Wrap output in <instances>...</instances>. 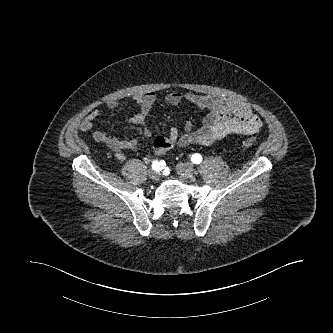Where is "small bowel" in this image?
Wrapping results in <instances>:
<instances>
[{"instance_id": "obj_1", "label": "small bowel", "mask_w": 333, "mask_h": 333, "mask_svg": "<svg viewBox=\"0 0 333 333\" xmlns=\"http://www.w3.org/2000/svg\"><path fill=\"white\" fill-rule=\"evenodd\" d=\"M155 94L152 92L139 94L134 101L139 107L137 113L128 121L132 124L142 125L144 136L150 137L146 128V119L155 104ZM165 101L170 105H180L189 102L204 112V118L198 128H194L191 120L184 122V132L180 133L176 126L170 129L168 136H158L153 140V151L161 155L175 146L186 147L190 145L209 146L230 135L251 136L257 134L262 121L246 102L229 97H214L194 92L171 91L166 94ZM119 105L117 100L106 103L109 109ZM99 116V111L92 110L80 123V128L92 134L93 138L105 144L119 161L125 160L126 151H135L139 147V140H121L115 136L107 135L104 131L94 129L93 122Z\"/></svg>"}]
</instances>
